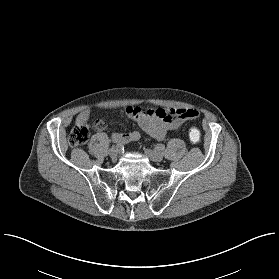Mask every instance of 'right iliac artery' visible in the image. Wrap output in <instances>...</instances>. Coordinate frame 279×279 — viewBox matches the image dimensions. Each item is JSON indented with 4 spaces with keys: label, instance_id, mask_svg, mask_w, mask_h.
I'll list each match as a JSON object with an SVG mask.
<instances>
[{
    "label": "right iliac artery",
    "instance_id": "1",
    "mask_svg": "<svg viewBox=\"0 0 279 279\" xmlns=\"http://www.w3.org/2000/svg\"><path fill=\"white\" fill-rule=\"evenodd\" d=\"M114 147H116L117 149H120V144L118 142H114Z\"/></svg>",
    "mask_w": 279,
    "mask_h": 279
}]
</instances>
